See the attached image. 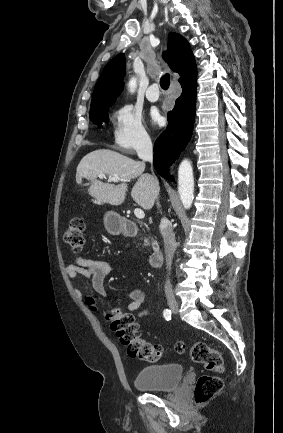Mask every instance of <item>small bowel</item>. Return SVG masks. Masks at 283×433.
I'll return each mask as SVG.
<instances>
[{
	"mask_svg": "<svg viewBox=\"0 0 283 433\" xmlns=\"http://www.w3.org/2000/svg\"><path fill=\"white\" fill-rule=\"evenodd\" d=\"M111 265L102 260H92L80 256H74L72 263L67 265L66 273L72 278L84 277L92 281L94 291L101 297H105L104 281L111 272ZM75 293L81 296L82 292L76 288ZM127 310L129 312H136L138 318L148 317L151 312L149 309L144 308L145 295L141 289H134L128 294Z\"/></svg>",
	"mask_w": 283,
	"mask_h": 433,
	"instance_id": "obj_1",
	"label": "small bowel"
}]
</instances>
